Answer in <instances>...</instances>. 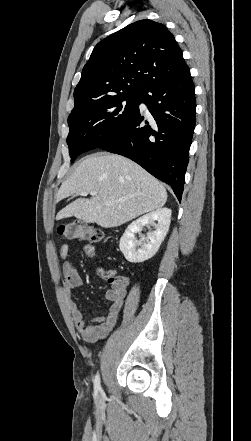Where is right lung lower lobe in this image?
Segmentation results:
<instances>
[{
    "instance_id": "1",
    "label": "right lung lower lobe",
    "mask_w": 251,
    "mask_h": 441,
    "mask_svg": "<svg viewBox=\"0 0 251 441\" xmlns=\"http://www.w3.org/2000/svg\"><path fill=\"white\" fill-rule=\"evenodd\" d=\"M140 103L147 105L151 116L144 117L138 108L99 148L135 161L169 184L181 201L195 128V87L189 67L151 84L141 93Z\"/></svg>"
}]
</instances>
